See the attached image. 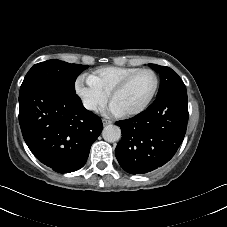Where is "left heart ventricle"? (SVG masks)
<instances>
[{
  "label": "left heart ventricle",
  "mask_w": 227,
  "mask_h": 227,
  "mask_svg": "<svg viewBox=\"0 0 227 227\" xmlns=\"http://www.w3.org/2000/svg\"><path fill=\"white\" fill-rule=\"evenodd\" d=\"M155 84L154 76L143 73L135 77L129 86L119 93L114 102L124 111H130L141 106L150 95Z\"/></svg>",
  "instance_id": "b2bd125f"
}]
</instances>
